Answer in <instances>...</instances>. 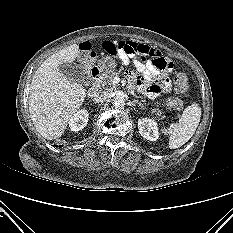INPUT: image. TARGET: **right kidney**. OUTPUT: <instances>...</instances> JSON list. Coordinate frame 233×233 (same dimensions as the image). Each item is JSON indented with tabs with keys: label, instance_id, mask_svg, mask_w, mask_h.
<instances>
[{
	"label": "right kidney",
	"instance_id": "ca27d5eb",
	"mask_svg": "<svg viewBox=\"0 0 233 233\" xmlns=\"http://www.w3.org/2000/svg\"><path fill=\"white\" fill-rule=\"evenodd\" d=\"M88 116V111L84 109L75 113L69 120V127L71 131L76 132L85 128L88 121Z\"/></svg>",
	"mask_w": 233,
	"mask_h": 233
}]
</instances>
